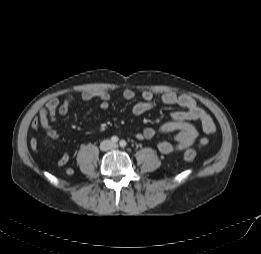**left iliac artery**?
<instances>
[{"instance_id": "left-iliac-artery-1", "label": "left iliac artery", "mask_w": 261, "mask_h": 254, "mask_svg": "<svg viewBox=\"0 0 261 254\" xmlns=\"http://www.w3.org/2000/svg\"><path fill=\"white\" fill-rule=\"evenodd\" d=\"M119 144L121 147H125L127 145L125 140H121Z\"/></svg>"}]
</instances>
